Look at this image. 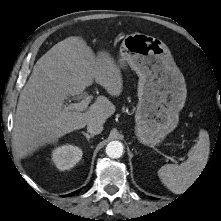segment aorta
Masks as SVG:
<instances>
[{
    "instance_id": "aorta-1",
    "label": "aorta",
    "mask_w": 221,
    "mask_h": 221,
    "mask_svg": "<svg viewBox=\"0 0 221 221\" xmlns=\"http://www.w3.org/2000/svg\"><path fill=\"white\" fill-rule=\"evenodd\" d=\"M106 154L110 158H120L123 154V144L119 141H111L106 146Z\"/></svg>"
}]
</instances>
